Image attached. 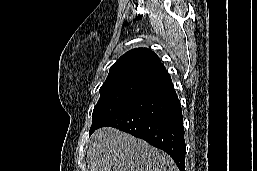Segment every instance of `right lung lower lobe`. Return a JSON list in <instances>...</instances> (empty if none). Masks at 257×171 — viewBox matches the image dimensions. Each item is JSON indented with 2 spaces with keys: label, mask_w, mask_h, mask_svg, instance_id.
<instances>
[{
  "label": "right lung lower lobe",
  "mask_w": 257,
  "mask_h": 171,
  "mask_svg": "<svg viewBox=\"0 0 257 171\" xmlns=\"http://www.w3.org/2000/svg\"><path fill=\"white\" fill-rule=\"evenodd\" d=\"M104 126L130 133L164 150L179 170L185 171L182 109L171 78L143 91L98 128Z\"/></svg>",
  "instance_id": "obj_1"
}]
</instances>
